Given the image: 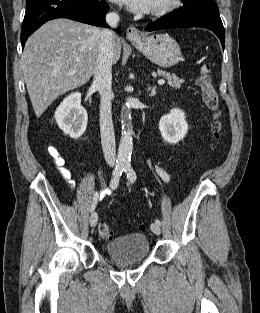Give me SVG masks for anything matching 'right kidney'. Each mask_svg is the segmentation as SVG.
Returning a JSON list of instances; mask_svg holds the SVG:
<instances>
[{
  "label": "right kidney",
  "instance_id": "1",
  "mask_svg": "<svg viewBox=\"0 0 260 313\" xmlns=\"http://www.w3.org/2000/svg\"><path fill=\"white\" fill-rule=\"evenodd\" d=\"M55 120L64 134L72 139L80 138L86 130L88 114L81 105V94L66 97L55 112Z\"/></svg>",
  "mask_w": 260,
  "mask_h": 313
}]
</instances>
